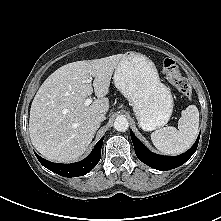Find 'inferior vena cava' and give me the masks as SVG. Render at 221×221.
Listing matches in <instances>:
<instances>
[{"instance_id": "inferior-vena-cava-1", "label": "inferior vena cava", "mask_w": 221, "mask_h": 221, "mask_svg": "<svg viewBox=\"0 0 221 221\" xmlns=\"http://www.w3.org/2000/svg\"><path fill=\"white\" fill-rule=\"evenodd\" d=\"M105 119H106L105 114H98L96 116V121L99 122V123L104 121Z\"/></svg>"}]
</instances>
